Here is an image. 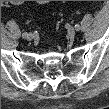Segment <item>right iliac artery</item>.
Instances as JSON below:
<instances>
[{
	"mask_svg": "<svg viewBox=\"0 0 109 109\" xmlns=\"http://www.w3.org/2000/svg\"><path fill=\"white\" fill-rule=\"evenodd\" d=\"M26 35H27V33H26V32H25V33H23V34H22L23 38H25V37H26Z\"/></svg>",
	"mask_w": 109,
	"mask_h": 109,
	"instance_id": "obj_1",
	"label": "right iliac artery"
}]
</instances>
